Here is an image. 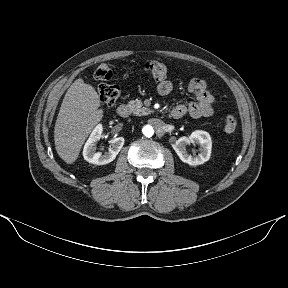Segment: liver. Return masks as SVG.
Listing matches in <instances>:
<instances>
[{"label":"liver","mask_w":288,"mask_h":288,"mask_svg":"<svg viewBox=\"0 0 288 288\" xmlns=\"http://www.w3.org/2000/svg\"><path fill=\"white\" fill-rule=\"evenodd\" d=\"M95 89L79 78L67 90L55 123L54 141L58 155L68 164L76 161L82 145L103 118Z\"/></svg>","instance_id":"obj_1"}]
</instances>
